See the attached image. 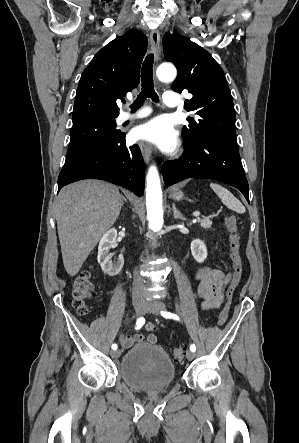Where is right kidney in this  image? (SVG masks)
Wrapping results in <instances>:
<instances>
[{
  "label": "right kidney",
  "mask_w": 299,
  "mask_h": 443,
  "mask_svg": "<svg viewBox=\"0 0 299 443\" xmlns=\"http://www.w3.org/2000/svg\"><path fill=\"white\" fill-rule=\"evenodd\" d=\"M117 238V230L112 228L108 230L101 238L98 246L97 260L101 265L102 270L109 276L117 275L123 268L124 258L119 256L117 263H112L110 260L109 250L114 246Z\"/></svg>",
  "instance_id": "obj_1"
}]
</instances>
